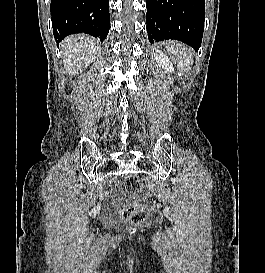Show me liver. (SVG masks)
I'll list each match as a JSON object with an SVG mask.
<instances>
[{
    "label": "liver",
    "mask_w": 265,
    "mask_h": 273,
    "mask_svg": "<svg viewBox=\"0 0 265 273\" xmlns=\"http://www.w3.org/2000/svg\"><path fill=\"white\" fill-rule=\"evenodd\" d=\"M96 43L95 38L84 34L67 37L61 44L64 66L67 71L75 75L95 60Z\"/></svg>",
    "instance_id": "liver-1"
}]
</instances>
